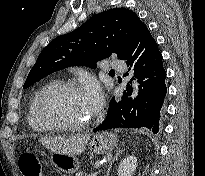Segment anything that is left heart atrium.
Here are the masks:
<instances>
[{"label":"left heart atrium","instance_id":"left-heart-atrium-1","mask_svg":"<svg viewBox=\"0 0 205 176\" xmlns=\"http://www.w3.org/2000/svg\"><path fill=\"white\" fill-rule=\"evenodd\" d=\"M81 97L91 114L101 109L103 104V97L100 89L96 84H84L81 91Z\"/></svg>","mask_w":205,"mask_h":176}]
</instances>
